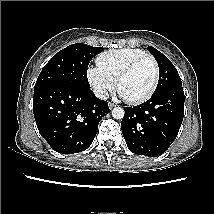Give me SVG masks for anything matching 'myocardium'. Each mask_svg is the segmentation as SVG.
Instances as JSON below:
<instances>
[{
	"mask_svg": "<svg viewBox=\"0 0 214 214\" xmlns=\"http://www.w3.org/2000/svg\"><path fill=\"white\" fill-rule=\"evenodd\" d=\"M143 61H149L153 66V70H154L153 83H152L151 87L149 88V90L141 97H138L135 99H127L132 104H141V103L147 101L148 99H150L152 97V95L154 94V92L156 91L157 86L159 84L160 73H159L158 63L152 56L145 54L143 56H140V57L134 59L132 62H130L127 66H125L121 70V72L117 78V87H118L119 91H120V84H121L122 80L127 75H129Z\"/></svg>",
	"mask_w": 214,
	"mask_h": 214,
	"instance_id": "obj_1",
	"label": "myocardium"
}]
</instances>
